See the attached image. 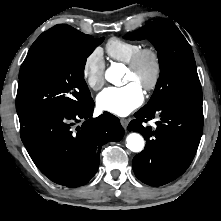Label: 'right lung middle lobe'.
Wrapping results in <instances>:
<instances>
[{
    "label": "right lung middle lobe",
    "mask_w": 221,
    "mask_h": 221,
    "mask_svg": "<svg viewBox=\"0 0 221 221\" xmlns=\"http://www.w3.org/2000/svg\"><path fill=\"white\" fill-rule=\"evenodd\" d=\"M103 40L85 35L44 47L24 60L16 97L20 123L33 116L75 111L86 105L92 99L84 80L86 59Z\"/></svg>",
    "instance_id": "right-lung-middle-lobe-1"
}]
</instances>
